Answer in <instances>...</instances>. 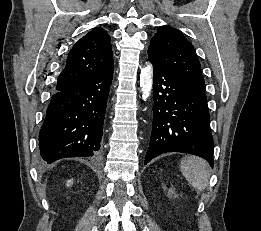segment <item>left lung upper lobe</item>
I'll return each instance as SVG.
<instances>
[{
	"label": "left lung upper lobe",
	"mask_w": 261,
	"mask_h": 231,
	"mask_svg": "<svg viewBox=\"0 0 261 231\" xmlns=\"http://www.w3.org/2000/svg\"><path fill=\"white\" fill-rule=\"evenodd\" d=\"M149 60L179 80L190 91L206 97L200 62L192 44L178 30L161 26L151 39Z\"/></svg>",
	"instance_id": "left-lung-upper-lobe-1"
}]
</instances>
